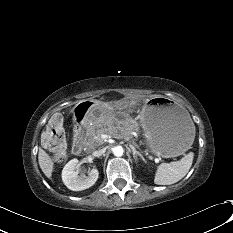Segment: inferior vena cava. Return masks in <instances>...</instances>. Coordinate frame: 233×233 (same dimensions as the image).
<instances>
[{
  "label": "inferior vena cava",
  "instance_id": "obj_1",
  "mask_svg": "<svg viewBox=\"0 0 233 233\" xmlns=\"http://www.w3.org/2000/svg\"><path fill=\"white\" fill-rule=\"evenodd\" d=\"M105 152H106V148L99 149V150L93 152V156H95V157H100V156H102Z\"/></svg>",
  "mask_w": 233,
  "mask_h": 233
}]
</instances>
